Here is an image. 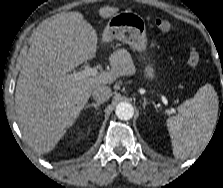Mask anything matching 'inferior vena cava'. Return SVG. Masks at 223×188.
I'll list each match as a JSON object with an SVG mask.
<instances>
[{
	"label": "inferior vena cava",
	"instance_id": "1",
	"mask_svg": "<svg viewBox=\"0 0 223 188\" xmlns=\"http://www.w3.org/2000/svg\"><path fill=\"white\" fill-rule=\"evenodd\" d=\"M111 89L106 85H100L92 90V96L98 102H105L111 97Z\"/></svg>",
	"mask_w": 223,
	"mask_h": 188
}]
</instances>
